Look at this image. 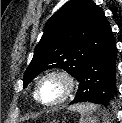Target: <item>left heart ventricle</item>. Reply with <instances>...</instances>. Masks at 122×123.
Instances as JSON below:
<instances>
[{"label": "left heart ventricle", "instance_id": "1", "mask_svg": "<svg viewBox=\"0 0 122 123\" xmlns=\"http://www.w3.org/2000/svg\"><path fill=\"white\" fill-rule=\"evenodd\" d=\"M65 91V83L57 77L47 78L41 85L40 97L44 102L59 99Z\"/></svg>", "mask_w": 122, "mask_h": 123}]
</instances>
